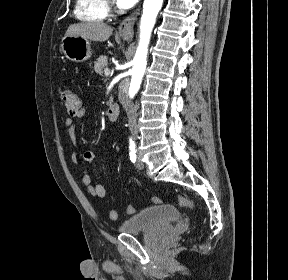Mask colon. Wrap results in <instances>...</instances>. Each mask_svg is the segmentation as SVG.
Instances as JSON below:
<instances>
[{"mask_svg": "<svg viewBox=\"0 0 288 280\" xmlns=\"http://www.w3.org/2000/svg\"><path fill=\"white\" fill-rule=\"evenodd\" d=\"M61 102L63 106L66 108L68 113L72 116L77 115L81 108V101L78 96V94L71 90L66 89L61 94ZM177 203L185 208H188L193 211H197V205L196 203L189 197L183 196V195H176L175 197ZM152 203L154 204H161L163 202V199L160 196H155L151 199ZM136 212V208L134 205H129L127 207V213L128 214H134ZM109 218L111 220H116L118 218V213L116 210H111L109 212Z\"/></svg>", "mask_w": 288, "mask_h": 280, "instance_id": "5ec220e1", "label": "colon"}]
</instances>
